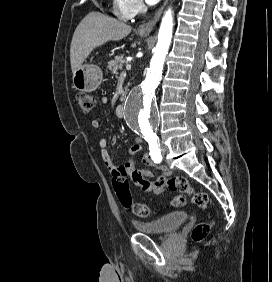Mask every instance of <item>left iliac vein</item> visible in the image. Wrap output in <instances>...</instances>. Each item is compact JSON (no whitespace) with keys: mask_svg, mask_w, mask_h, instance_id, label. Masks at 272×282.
<instances>
[{"mask_svg":"<svg viewBox=\"0 0 272 282\" xmlns=\"http://www.w3.org/2000/svg\"><path fill=\"white\" fill-rule=\"evenodd\" d=\"M160 151L164 155L166 152V146L163 142L160 143Z\"/></svg>","mask_w":272,"mask_h":282,"instance_id":"obj_1","label":"left iliac vein"}]
</instances>
